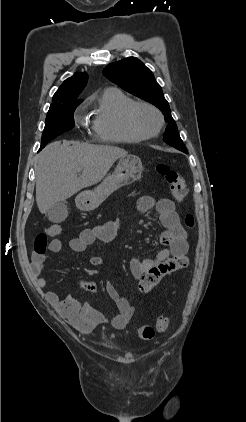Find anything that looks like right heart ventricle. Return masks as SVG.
<instances>
[{
    "label": "right heart ventricle",
    "instance_id": "e07e8e85",
    "mask_svg": "<svg viewBox=\"0 0 246 422\" xmlns=\"http://www.w3.org/2000/svg\"><path fill=\"white\" fill-rule=\"evenodd\" d=\"M135 101L117 88H106L97 98L92 129L103 142L136 143L143 140L127 126L125 112Z\"/></svg>",
    "mask_w": 246,
    "mask_h": 422
}]
</instances>
